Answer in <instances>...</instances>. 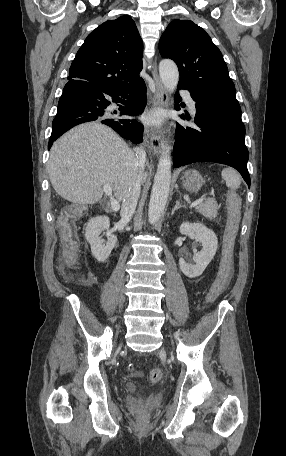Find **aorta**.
I'll use <instances>...</instances> for the list:
<instances>
[{"mask_svg": "<svg viewBox=\"0 0 286 456\" xmlns=\"http://www.w3.org/2000/svg\"><path fill=\"white\" fill-rule=\"evenodd\" d=\"M159 74L164 87L172 93L179 81L176 64L170 59L162 60L159 63ZM170 153L171 147L165 146L158 162L148 209V219L151 224L159 221L167 203L171 183Z\"/></svg>", "mask_w": 286, "mask_h": 456, "instance_id": "obj_1", "label": "aorta"}]
</instances>
